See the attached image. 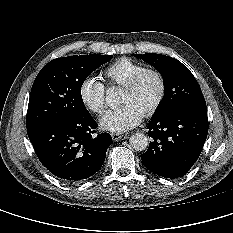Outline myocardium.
<instances>
[{
    "label": "myocardium",
    "instance_id": "f54148a6",
    "mask_svg": "<svg viewBox=\"0 0 233 233\" xmlns=\"http://www.w3.org/2000/svg\"><path fill=\"white\" fill-rule=\"evenodd\" d=\"M147 76H154L159 83V91L158 95L153 101V103L147 108V110L143 113V116L150 117L159 109L162 102L164 101V98L166 96L167 91V84L164 75L156 70V69H145L136 75H134L124 86V90H134L138 87V85L142 82L144 78Z\"/></svg>",
    "mask_w": 233,
    "mask_h": 233
}]
</instances>
